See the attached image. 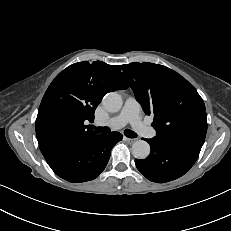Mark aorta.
Listing matches in <instances>:
<instances>
[{"label":"aorta","instance_id":"aorta-1","mask_svg":"<svg viewBox=\"0 0 231 231\" xmlns=\"http://www.w3.org/2000/svg\"><path fill=\"white\" fill-rule=\"evenodd\" d=\"M104 108L109 112H118L122 107V99L116 92L106 94L102 100ZM133 156L145 159L150 154V145L144 140H137L132 145Z\"/></svg>","mask_w":231,"mask_h":231}]
</instances>
